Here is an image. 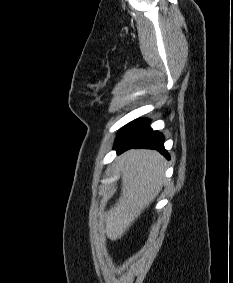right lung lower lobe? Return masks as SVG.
Wrapping results in <instances>:
<instances>
[{
	"label": "right lung lower lobe",
	"instance_id": "obj_1",
	"mask_svg": "<svg viewBox=\"0 0 233 283\" xmlns=\"http://www.w3.org/2000/svg\"><path fill=\"white\" fill-rule=\"evenodd\" d=\"M164 136L149 127L148 120H135L126 125L117 135L114 149L118 153L131 148H149L170 158L163 146Z\"/></svg>",
	"mask_w": 233,
	"mask_h": 283
}]
</instances>
